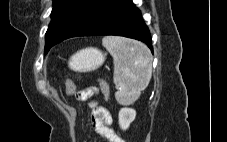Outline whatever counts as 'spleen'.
<instances>
[{
	"label": "spleen",
	"instance_id": "1",
	"mask_svg": "<svg viewBox=\"0 0 227 142\" xmlns=\"http://www.w3.org/2000/svg\"><path fill=\"white\" fill-rule=\"evenodd\" d=\"M103 46L113 57L114 83L119 90L115 98L120 104H131L148 86L152 76V55L141 42L118 36H107Z\"/></svg>",
	"mask_w": 227,
	"mask_h": 142
}]
</instances>
